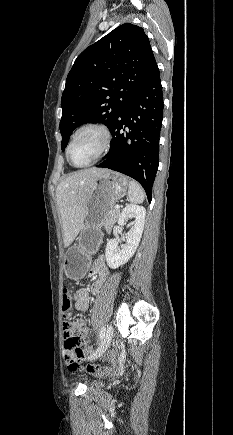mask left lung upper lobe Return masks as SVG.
<instances>
[{
	"mask_svg": "<svg viewBox=\"0 0 233 435\" xmlns=\"http://www.w3.org/2000/svg\"><path fill=\"white\" fill-rule=\"evenodd\" d=\"M157 66L144 30L123 24L86 48L75 60L61 98V149L86 122L109 129Z\"/></svg>",
	"mask_w": 233,
	"mask_h": 435,
	"instance_id": "obj_1",
	"label": "left lung upper lobe"
}]
</instances>
